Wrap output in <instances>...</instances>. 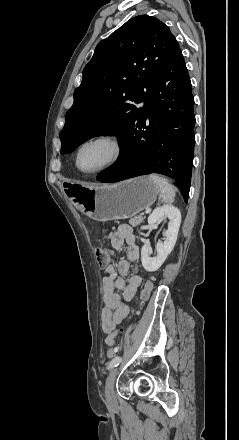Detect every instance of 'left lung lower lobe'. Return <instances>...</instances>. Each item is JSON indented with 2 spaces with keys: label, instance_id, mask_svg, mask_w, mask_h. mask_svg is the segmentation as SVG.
Segmentation results:
<instances>
[{
  "label": "left lung lower lobe",
  "instance_id": "0a47b994",
  "mask_svg": "<svg viewBox=\"0 0 239 440\" xmlns=\"http://www.w3.org/2000/svg\"><path fill=\"white\" fill-rule=\"evenodd\" d=\"M143 100L145 107L118 137L122 151L117 163L98 180L108 183L164 174L180 184L187 201L195 144L194 97L178 43Z\"/></svg>",
  "mask_w": 239,
  "mask_h": 440
}]
</instances>
